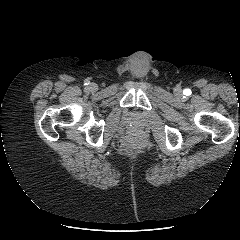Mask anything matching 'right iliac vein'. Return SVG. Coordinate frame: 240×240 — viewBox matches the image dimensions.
Masks as SVG:
<instances>
[{
	"mask_svg": "<svg viewBox=\"0 0 240 240\" xmlns=\"http://www.w3.org/2000/svg\"><path fill=\"white\" fill-rule=\"evenodd\" d=\"M89 89H90L91 91H96L98 88H97V85H96V84L91 83V84L89 85Z\"/></svg>",
	"mask_w": 240,
	"mask_h": 240,
	"instance_id": "right-iliac-vein-1",
	"label": "right iliac vein"
}]
</instances>
